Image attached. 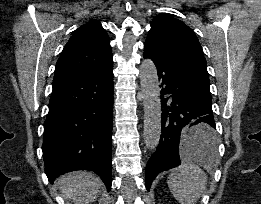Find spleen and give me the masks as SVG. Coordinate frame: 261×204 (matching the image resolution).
Segmentation results:
<instances>
[{
	"mask_svg": "<svg viewBox=\"0 0 261 204\" xmlns=\"http://www.w3.org/2000/svg\"><path fill=\"white\" fill-rule=\"evenodd\" d=\"M199 147L204 153L215 152L216 139L202 141ZM202 153V152H200ZM168 187L180 204H195L202 196L206 185L205 173L195 164L183 163L173 170L167 179Z\"/></svg>",
	"mask_w": 261,
	"mask_h": 204,
	"instance_id": "obj_1",
	"label": "spleen"
}]
</instances>
